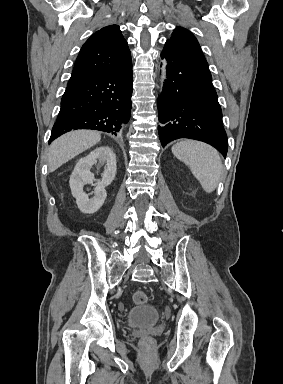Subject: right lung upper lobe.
Instances as JSON below:
<instances>
[{
	"label": "right lung upper lobe",
	"mask_w": 283,
	"mask_h": 384,
	"mask_svg": "<svg viewBox=\"0 0 283 384\" xmlns=\"http://www.w3.org/2000/svg\"><path fill=\"white\" fill-rule=\"evenodd\" d=\"M132 65L131 53L118 25L95 32L82 46L68 85Z\"/></svg>",
	"instance_id": "1"
}]
</instances>
